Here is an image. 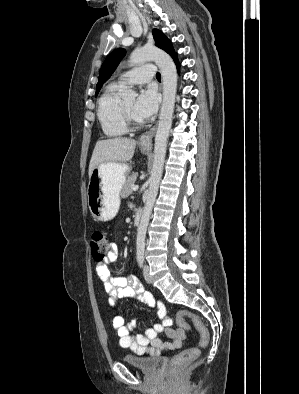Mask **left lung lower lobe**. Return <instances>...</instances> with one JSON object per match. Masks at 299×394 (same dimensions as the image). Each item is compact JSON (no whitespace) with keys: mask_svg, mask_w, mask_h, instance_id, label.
<instances>
[{"mask_svg":"<svg viewBox=\"0 0 299 394\" xmlns=\"http://www.w3.org/2000/svg\"><path fill=\"white\" fill-rule=\"evenodd\" d=\"M171 57L174 59L175 64H176L177 67L179 68V62H178V59H177V53L174 52V53L171 55Z\"/></svg>","mask_w":299,"mask_h":394,"instance_id":"obj_1","label":"left lung lower lobe"}]
</instances>
